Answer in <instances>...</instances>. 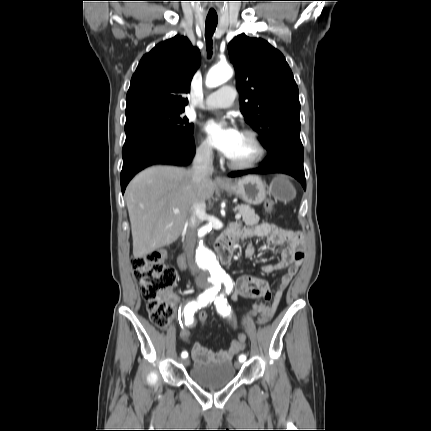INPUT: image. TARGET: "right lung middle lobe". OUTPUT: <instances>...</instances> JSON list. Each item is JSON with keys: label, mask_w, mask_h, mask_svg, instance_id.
Listing matches in <instances>:
<instances>
[{"label": "right lung middle lobe", "mask_w": 431, "mask_h": 431, "mask_svg": "<svg viewBox=\"0 0 431 431\" xmlns=\"http://www.w3.org/2000/svg\"><path fill=\"white\" fill-rule=\"evenodd\" d=\"M183 111L154 112L127 119L125 123L126 136L147 129H163L178 135L192 136L194 126L188 123L187 117L181 115Z\"/></svg>", "instance_id": "right-lung-middle-lobe-1"}]
</instances>
